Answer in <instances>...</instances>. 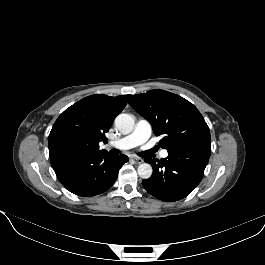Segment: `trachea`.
<instances>
[{
  "label": "trachea",
  "mask_w": 265,
  "mask_h": 265,
  "mask_svg": "<svg viewBox=\"0 0 265 265\" xmlns=\"http://www.w3.org/2000/svg\"><path fill=\"white\" fill-rule=\"evenodd\" d=\"M110 152L114 155H118L120 153V151L117 149H112Z\"/></svg>",
  "instance_id": "trachea-1"
}]
</instances>
